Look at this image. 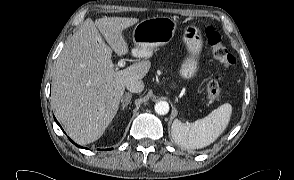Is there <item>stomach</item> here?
I'll return each instance as SVG.
<instances>
[{"mask_svg": "<svg viewBox=\"0 0 294 180\" xmlns=\"http://www.w3.org/2000/svg\"><path fill=\"white\" fill-rule=\"evenodd\" d=\"M176 28V20L167 16H156L140 21L133 29L135 55L149 56L154 48L168 44L173 39ZM183 42L190 56L184 60L180 74L183 78L189 79L198 71V57L203 45L201 30L194 25L186 26Z\"/></svg>", "mask_w": 294, "mask_h": 180, "instance_id": "0dacf381", "label": "stomach"}]
</instances>
